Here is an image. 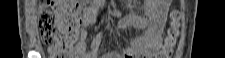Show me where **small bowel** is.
<instances>
[{
    "label": "small bowel",
    "instance_id": "c3829d8e",
    "mask_svg": "<svg viewBox=\"0 0 225 58\" xmlns=\"http://www.w3.org/2000/svg\"><path fill=\"white\" fill-rule=\"evenodd\" d=\"M105 0H94L86 5L82 12V28L80 38L76 44V52L79 58H149L156 54L161 47V33L169 8L168 0L150 1L145 5L147 17L138 18L126 16L119 20L115 28V35L130 25H137L143 29V33L131 46H120L116 51H104L102 44L105 32H100L87 48V29L98 21L100 9Z\"/></svg>",
    "mask_w": 225,
    "mask_h": 58
}]
</instances>
